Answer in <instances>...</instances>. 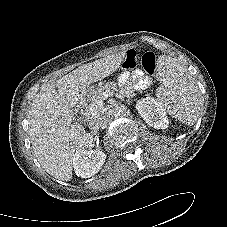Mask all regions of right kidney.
<instances>
[{
    "instance_id": "right-kidney-1",
    "label": "right kidney",
    "mask_w": 227,
    "mask_h": 227,
    "mask_svg": "<svg viewBox=\"0 0 227 227\" xmlns=\"http://www.w3.org/2000/svg\"><path fill=\"white\" fill-rule=\"evenodd\" d=\"M95 138L92 134H86L78 143L73 157V168L77 176L90 178L102 168L106 154L99 149L92 150L95 146Z\"/></svg>"
}]
</instances>
